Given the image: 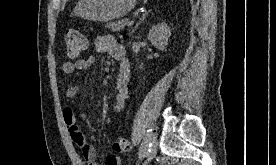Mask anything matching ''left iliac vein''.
<instances>
[{
    "instance_id": "1",
    "label": "left iliac vein",
    "mask_w": 276,
    "mask_h": 165,
    "mask_svg": "<svg viewBox=\"0 0 276 165\" xmlns=\"http://www.w3.org/2000/svg\"><path fill=\"white\" fill-rule=\"evenodd\" d=\"M149 149L145 154L146 161L143 165H146L147 162L151 161V159L155 156L157 150V135L155 133H150L149 138Z\"/></svg>"
}]
</instances>
